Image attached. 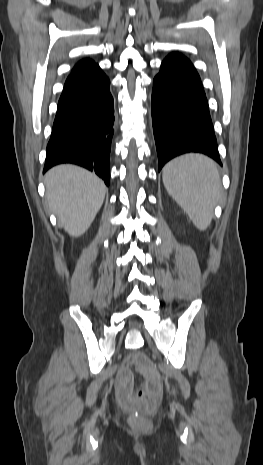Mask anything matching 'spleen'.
Masks as SVG:
<instances>
[{"mask_svg":"<svg viewBox=\"0 0 263 465\" xmlns=\"http://www.w3.org/2000/svg\"><path fill=\"white\" fill-rule=\"evenodd\" d=\"M163 183L199 230L211 223L213 206L221 191L217 166L200 154H187L167 163Z\"/></svg>","mask_w":263,"mask_h":465,"instance_id":"spleen-1","label":"spleen"}]
</instances>
